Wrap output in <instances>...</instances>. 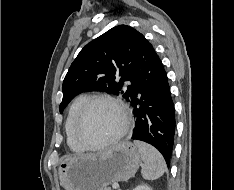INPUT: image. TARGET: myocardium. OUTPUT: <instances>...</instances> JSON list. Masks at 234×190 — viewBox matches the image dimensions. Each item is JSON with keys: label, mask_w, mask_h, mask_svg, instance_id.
<instances>
[{"label": "myocardium", "mask_w": 234, "mask_h": 190, "mask_svg": "<svg viewBox=\"0 0 234 190\" xmlns=\"http://www.w3.org/2000/svg\"><path fill=\"white\" fill-rule=\"evenodd\" d=\"M98 101L108 102L111 105H113L121 115L122 125L120 129L118 130V132L114 136H112L110 139L104 142H101L99 144H90L83 138L81 134V129H82V124H83V121H84V118L86 116L88 109L93 103L98 102ZM130 125H131V119H130L128 110L119 99L108 94H96V95L87 97V99L82 104L77 114L75 124H74V137L84 149L97 150V149L107 147L117 142L120 138H122L127 133V131L130 128Z\"/></svg>", "instance_id": "f54148a6"}]
</instances>
